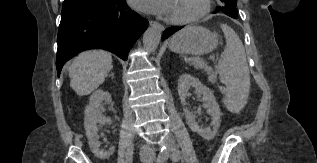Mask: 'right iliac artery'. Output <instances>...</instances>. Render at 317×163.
<instances>
[{
	"label": "right iliac artery",
	"instance_id": "82829eb1",
	"mask_svg": "<svg viewBox=\"0 0 317 163\" xmlns=\"http://www.w3.org/2000/svg\"><path fill=\"white\" fill-rule=\"evenodd\" d=\"M166 159H167V158H166V153H163V152L161 151V153H159V155H158V157H157L156 163H164Z\"/></svg>",
	"mask_w": 317,
	"mask_h": 163
}]
</instances>
